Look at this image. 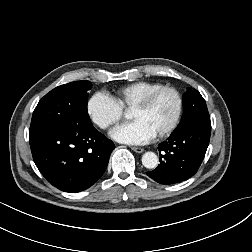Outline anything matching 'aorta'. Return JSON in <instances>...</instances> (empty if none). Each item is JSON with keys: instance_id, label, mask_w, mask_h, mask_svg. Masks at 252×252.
<instances>
[{"instance_id": "762f6f07", "label": "aorta", "mask_w": 252, "mask_h": 252, "mask_svg": "<svg viewBox=\"0 0 252 252\" xmlns=\"http://www.w3.org/2000/svg\"><path fill=\"white\" fill-rule=\"evenodd\" d=\"M159 163L158 156L154 152H146L142 156V164L145 168L154 169Z\"/></svg>"}]
</instances>
